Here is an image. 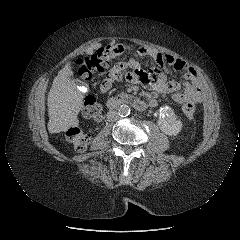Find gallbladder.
I'll return each instance as SVG.
<instances>
[{"instance_id":"1","label":"gallbladder","mask_w":240,"mask_h":240,"mask_svg":"<svg viewBox=\"0 0 240 240\" xmlns=\"http://www.w3.org/2000/svg\"><path fill=\"white\" fill-rule=\"evenodd\" d=\"M73 82L77 85V86H81L83 85V82L78 80V79H74Z\"/></svg>"}]
</instances>
